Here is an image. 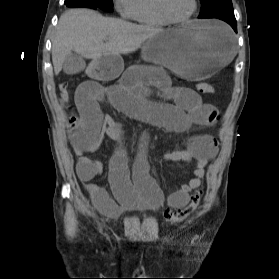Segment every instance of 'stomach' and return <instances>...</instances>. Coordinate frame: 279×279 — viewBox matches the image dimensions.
Returning <instances> with one entry per match:
<instances>
[{
	"mask_svg": "<svg viewBox=\"0 0 279 279\" xmlns=\"http://www.w3.org/2000/svg\"><path fill=\"white\" fill-rule=\"evenodd\" d=\"M142 52L146 61L165 65L183 82H205L218 69H226L238 55L227 24L205 21L163 30L145 43ZM123 65L121 56H103L87 64L81 75L92 78V82H113Z\"/></svg>",
	"mask_w": 279,
	"mask_h": 279,
	"instance_id": "obj_1",
	"label": "stomach"
}]
</instances>
